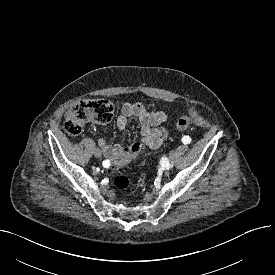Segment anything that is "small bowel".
I'll use <instances>...</instances> for the list:
<instances>
[{
    "instance_id": "c3829d8e",
    "label": "small bowel",
    "mask_w": 275,
    "mask_h": 275,
    "mask_svg": "<svg viewBox=\"0 0 275 275\" xmlns=\"http://www.w3.org/2000/svg\"><path fill=\"white\" fill-rule=\"evenodd\" d=\"M130 117H135L140 123L141 146H147L151 149L159 148L168 136L166 125L168 116L161 111L149 112L140 103H125L122 106L121 113L117 118V127L124 130L128 125ZM98 144L106 158L109 161L127 157L130 154L131 147L124 148L120 144H108L103 138H100Z\"/></svg>"
}]
</instances>
